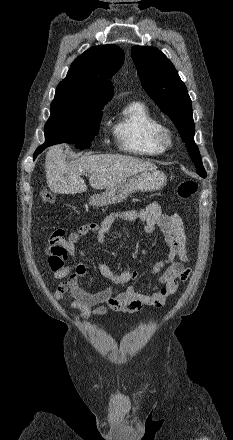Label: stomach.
I'll return each mask as SVG.
<instances>
[{
    "label": "stomach",
    "mask_w": 233,
    "mask_h": 440,
    "mask_svg": "<svg viewBox=\"0 0 233 440\" xmlns=\"http://www.w3.org/2000/svg\"><path fill=\"white\" fill-rule=\"evenodd\" d=\"M166 175L158 170L145 171L134 175L120 184L106 189L101 194L90 197L89 204L96 207H103L120 203L129 195L137 191H156L166 185Z\"/></svg>",
    "instance_id": "0dacf381"
}]
</instances>
